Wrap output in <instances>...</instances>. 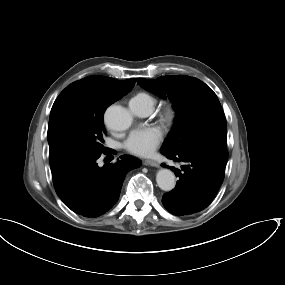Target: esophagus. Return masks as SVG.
Masks as SVG:
<instances>
[{"label": "esophagus", "instance_id": "esophagus-1", "mask_svg": "<svg viewBox=\"0 0 285 285\" xmlns=\"http://www.w3.org/2000/svg\"><path fill=\"white\" fill-rule=\"evenodd\" d=\"M145 166H153V167H159V164L153 160L145 159L142 162Z\"/></svg>", "mask_w": 285, "mask_h": 285}]
</instances>
